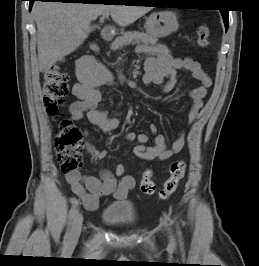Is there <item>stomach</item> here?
Masks as SVG:
<instances>
[{
  "label": "stomach",
  "instance_id": "stomach-1",
  "mask_svg": "<svg viewBox=\"0 0 259 266\" xmlns=\"http://www.w3.org/2000/svg\"><path fill=\"white\" fill-rule=\"evenodd\" d=\"M178 29V21L175 13L162 11L152 13L145 23V30L153 38L167 37Z\"/></svg>",
  "mask_w": 259,
  "mask_h": 266
}]
</instances>
